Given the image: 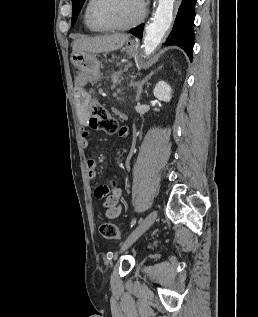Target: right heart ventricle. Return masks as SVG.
Masks as SVG:
<instances>
[{
    "instance_id": "1",
    "label": "right heart ventricle",
    "mask_w": 258,
    "mask_h": 317,
    "mask_svg": "<svg viewBox=\"0 0 258 317\" xmlns=\"http://www.w3.org/2000/svg\"><path fill=\"white\" fill-rule=\"evenodd\" d=\"M91 0H89L86 4V8H85V13H84V22H85V26L86 28L91 31V32H97L98 30L95 29L89 22L88 17H87V10H88V6Z\"/></svg>"
}]
</instances>
